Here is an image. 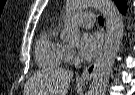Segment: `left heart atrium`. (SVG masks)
Segmentation results:
<instances>
[{"label": "left heart atrium", "instance_id": "left-heart-atrium-1", "mask_svg": "<svg viewBox=\"0 0 135 95\" xmlns=\"http://www.w3.org/2000/svg\"><path fill=\"white\" fill-rule=\"evenodd\" d=\"M102 38L98 33L87 32L81 37L78 51L84 60L93 59L99 52Z\"/></svg>", "mask_w": 135, "mask_h": 95}]
</instances>
